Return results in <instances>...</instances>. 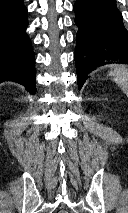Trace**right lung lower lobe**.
Returning a JSON list of instances; mask_svg holds the SVG:
<instances>
[{
    "label": "right lung lower lobe",
    "instance_id": "1",
    "mask_svg": "<svg viewBox=\"0 0 128 213\" xmlns=\"http://www.w3.org/2000/svg\"><path fill=\"white\" fill-rule=\"evenodd\" d=\"M27 25L23 0H0V83L15 81L35 93V56Z\"/></svg>",
    "mask_w": 128,
    "mask_h": 213
}]
</instances>
